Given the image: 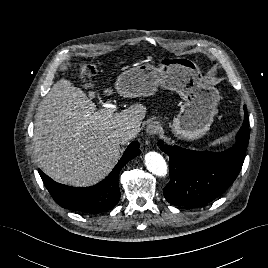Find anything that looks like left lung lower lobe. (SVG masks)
<instances>
[{
    "instance_id": "obj_1",
    "label": "left lung lower lobe",
    "mask_w": 268,
    "mask_h": 268,
    "mask_svg": "<svg viewBox=\"0 0 268 268\" xmlns=\"http://www.w3.org/2000/svg\"><path fill=\"white\" fill-rule=\"evenodd\" d=\"M245 117L235 144L223 152L192 151L165 145L160 149L169 156L170 182L164 188L166 200L178 206L205 205L228 189L238 176L249 141V117Z\"/></svg>"
}]
</instances>
